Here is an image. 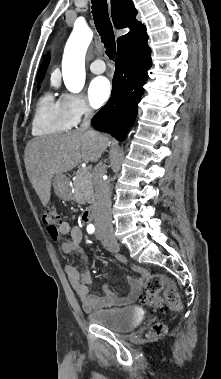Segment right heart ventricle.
I'll return each mask as SVG.
<instances>
[{
  "instance_id": "1",
  "label": "right heart ventricle",
  "mask_w": 221,
  "mask_h": 379,
  "mask_svg": "<svg viewBox=\"0 0 221 379\" xmlns=\"http://www.w3.org/2000/svg\"><path fill=\"white\" fill-rule=\"evenodd\" d=\"M73 126L59 99L49 92L38 99L32 121L33 134L53 135L68 131Z\"/></svg>"
}]
</instances>
